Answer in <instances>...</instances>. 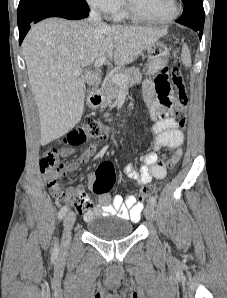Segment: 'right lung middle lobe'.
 Masks as SVG:
<instances>
[{
    "mask_svg": "<svg viewBox=\"0 0 227 298\" xmlns=\"http://www.w3.org/2000/svg\"><path fill=\"white\" fill-rule=\"evenodd\" d=\"M46 4H63L78 9L89 10L86 0H20L17 17Z\"/></svg>",
    "mask_w": 227,
    "mask_h": 298,
    "instance_id": "dd1d6c3e",
    "label": "right lung middle lobe"
}]
</instances>
